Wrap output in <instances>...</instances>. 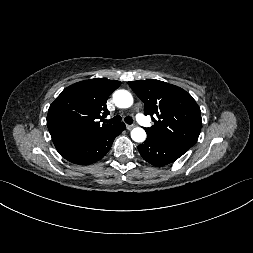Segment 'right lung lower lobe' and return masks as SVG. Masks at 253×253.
I'll use <instances>...</instances> for the list:
<instances>
[{
	"instance_id": "right-lung-lower-lobe-1",
	"label": "right lung lower lobe",
	"mask_w": 253,
	"mask_h": 253,
	"mask_svg": "<svg viewBox=\"0 0 253 253\" xmlns=\"http://www.w3.org/2000/svg\"><path fill=\"white\" fill-rule=\"evenodd\" d=\"M125 129L124 123L98 132L88 138L57 149L59 154L74 164L88 165L102 159L111 148L114 139Z\"/></svg>"
}]
</instances>
